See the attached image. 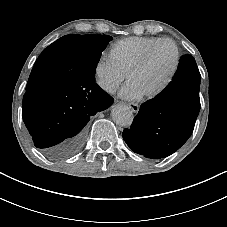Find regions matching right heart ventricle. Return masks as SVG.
I'll return each mask as SVG.
<instances>
[{
	"label": "right heart ventricle",
	"instance_id": "1",
	"mask_svg": "<svg viewBox=\"0 0 227 227\" xmlns=\"http://www.w3.org/2000/svg\"><path fill=\"white\" fill-rule=\"evenodd\" d=\"M154 37H127L117 41L111 48L110 57L128 74L148 46L157 41Z\"/></svg>",
	"mask_w": 227,
	"mask_h": 227
}]
</instances>
